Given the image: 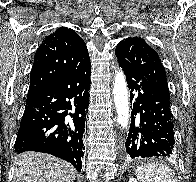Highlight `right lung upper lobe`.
<instances>
[{
	"instance_id": "obj_1",
	"label": "right lung upper lobe",
	"mask_w": 196,
	"mask_h": 182,
	"mask_svg": "<svg viewBox=\"0 0 196 182\" xmlns=\"http://www.w3.org/2000/svg\"><path fill=\"white\" fill-rule=\"evenodd\" d=\"M88 58L86 44L72 29L55 30L35 53L27 101Z\"/></svg>"
}]
</instances>
